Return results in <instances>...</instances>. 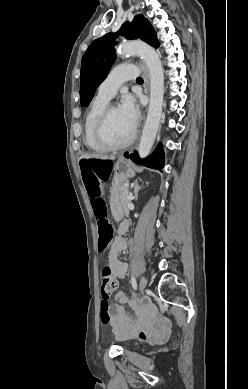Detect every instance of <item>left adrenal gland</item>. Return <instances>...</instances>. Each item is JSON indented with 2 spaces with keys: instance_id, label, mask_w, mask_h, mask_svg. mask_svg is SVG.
Instances as JSON below:
<instances>
[{
  "instance_id": "left-adrenal-gland-1",
  "label": "left adrenal gland",
  "mask_w": 248,
  "mask_h": 389,
  "mask_svg": "<svg viewBox=\"0 0 248 389\" xmlns=\"http://www.w3.org/2000/svg\"><path fill=\"white\" fill-rule=\"evenodd\" d=\"M133 187H134V198H137L138 197V191L140 190L141 186H139L138 182L136 181L133 184Z\"/></svg>"
}]
</instances>
